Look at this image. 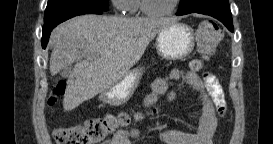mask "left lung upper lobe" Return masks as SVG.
I'll use <instances>...</instances> for the list:
<instances>
[{
  "mask_svg": "<svg viewBox=\"0 0 273 144\" xmlns=\"http://www.w3.org/2000/svg\"><path fill=\"white\" fill-rule=\"evenodd\" d=\"M191 7H193V0H181L178 11L183 12L188 10Z\"/></svg>",
  "mask_w": 273,
  "mask_h": 144,
  "instance_id": "5c2ea615",
  "label": "left lung upper lobe"
}]
</instances>
